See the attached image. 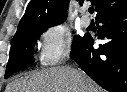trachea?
Wrapping results in <instances>:
<instances>
[{
	"instance_id": "3493384b",
	"label": "trachea",
	"mask_w": 127,
	"mask_h": 92,
	"mask_svg": "<svg viewBox=\"0 0 127 92\" xmlns=\"http://www.w3.org/2000/svg\"><path fill=\"white\" fill-rule=\"evenodd\" d=\"M88 11H89V13H93L94 12V7H90L89 9H88Z\"/></svg>"
}]
</instances>
